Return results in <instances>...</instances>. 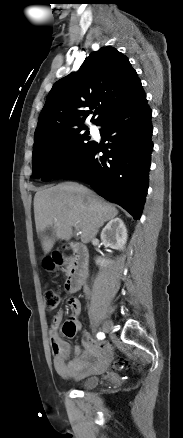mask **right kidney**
<instances>
[{"instance_id":"1","label":"right kidney","mask_w":183,"mask_h":438,"mask_svg":"<svg viewBox=\"0 0 183 438\" xmlns=\"http://www.w3.org/2000/svg\"><path fill=\"white\" fill-rule=\"evenodd\" d=\"M127 229L120 218H114L110 220L101 232V240L104 245L109 246L112 249L123 250L127 242ZM96 263L100 266L109 264L110 261L97 258Z\"/></svg>"}]
</instances>
